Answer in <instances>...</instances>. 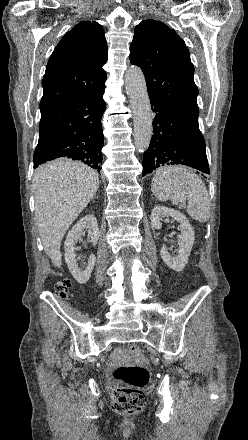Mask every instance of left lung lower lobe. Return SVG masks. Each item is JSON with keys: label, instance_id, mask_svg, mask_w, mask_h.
Segmentation results:
<instances>
[{"label": "left lung lower lobe", "instance_id": "obj_1", "mask_svg": "<svg viewBox=\"0 0 248 440\" xmlns=\"http://www.w3.org/2000/svg\"><path fill=\"white\" fill-rule=\"evenodd\" d=\"M153 119L152 140L143 157V176L163 165L183 164L209 174L205 140L199 126L150 98Z\"/></svg>", "mask_w": 248, "mask_h": 440}]
</instances>
